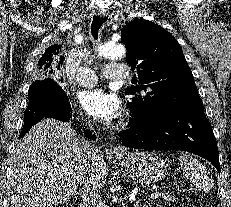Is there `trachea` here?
<instances>
[{"label": "trachea", "instance_id": "1", "mask_svg": "<svg viewBox=\"0 0 231 207\" xmlns=\"http://www.w3.org/2000/svg\"><path fill=\"white\" fill-rule=\"evenodd\" d=\"M108 17H99V16H94L92 25H91V33L94 37V39L98 38V32L101 26L103 25L104 22H106Z\"/></svg>", "mask_w": 231, "mask_h": 207}]
</instances>
